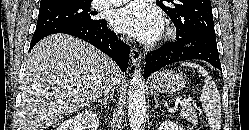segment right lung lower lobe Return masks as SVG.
<instances>
[{
	"label": "right lung lower lobe",
	"instance_id": "right-lung-lower-lobe-1",
	"mask_svg": "<svg viewBox=\"0 0 249 130\" xmlns=\"http://www.w3.org/2000/svg\"><path fill=\"white\" fill-rule=\"evenodd\" d=\"M55 33L69 34L91 43L110 56L123 72L126 71L130 47L107 28L105 20L94 24L67 23L36 29L29 50L42 38Z\"/></svg>",
	"mask_w": 249,
	"mask_h": 130
}]
</instances>
